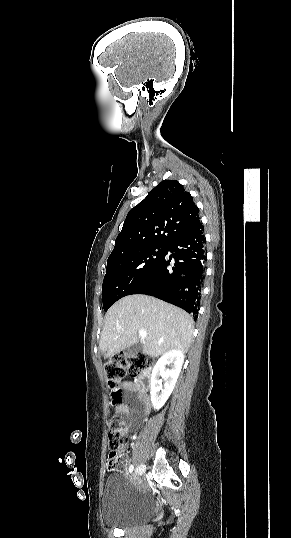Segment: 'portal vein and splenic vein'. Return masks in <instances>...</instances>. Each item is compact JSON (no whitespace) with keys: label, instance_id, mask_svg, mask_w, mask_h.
I'll return each instance as SVG.
<instances>
[{"label":"portal vein and splenic vein","instance_id":"18ae733b","mask_svg":"<svg viewBox=\"0 0 291 538\" xmlns=\"http://www.w3.org/2000/svg\"><path fill=\"white\" fill-rule=\"evenodd\" d=\"M139 336H140L141 338H146V336H147L146 331H144V330H139Z\"/></svg>","mask_w":291,"mask_h":538}]
</instances>
